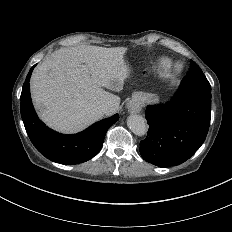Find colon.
I'll list each match as a JSON object with an SVG mask.
<instances>
[{
	"label": "colon",
	"instance_id": "colon-1",
	"mask_svg": "<svg viewBox=\"0 0 232 232\" xmlns=\"http://www.w3.org/2000/svg\"><path fill=\"white\" fill-rule=\"evenodd\" d=\"M144 73H149V68H144Z\"/></svg>",
	"mask_w": 232,
	"mask_h": 232
}]
</instances>
